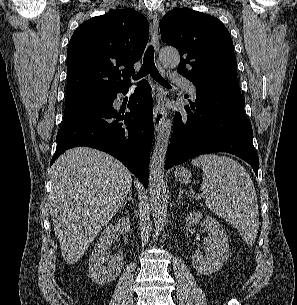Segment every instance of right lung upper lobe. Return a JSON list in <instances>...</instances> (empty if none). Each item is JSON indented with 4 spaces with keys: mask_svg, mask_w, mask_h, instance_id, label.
Here are the masks:
<instances>
[{
    "mask_svg": "<svg viewBox=\"0 0 297 305\" xmlns=\"http://www.w3.org/2000/svg\"><path fill=\"white\" fill-rule=\"evenodd\" d=\"M148 39V21L133 9L111 11L82 23L67 50L65 102L127 87Z\"/></svg>",
    "mask_w": 297,
    "mask_h": 305,
    "instance_id": "cb5924a9",
    "label": "right lung upper lobe"
}]
</instances>
